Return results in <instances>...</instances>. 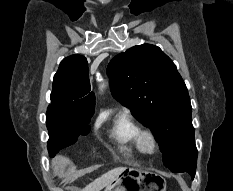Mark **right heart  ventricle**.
<instances>
[{
    "label": "right heart ventricle",
    "mask_w": 233,
    "mask_h": 191,
    "mask_svg": "<svg viewBox=\"0 0 233 191\" xmlns=\"http://www.w3.org/2000/svg\"><path fill=\"white\" fill-rule=\"evenodd\" d=\"M141 126L128 113L118 114L109 130L110 138L127 156L134 153H145L140 142Z\"/></svg>",
    "instance_id": "right-heart-ventricle-1"
}]
</instances>
